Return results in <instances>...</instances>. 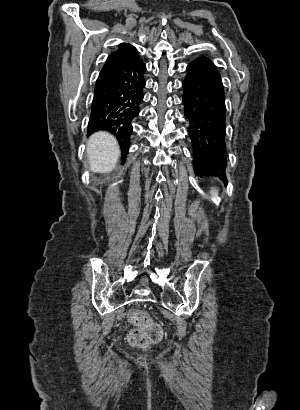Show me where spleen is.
I'll list each match as a JSON object with an SVG mask.
<instances>
[{
  "instance_id": "obj_1",
  "label": "spleen",
  "mask_w": 300,
  "mask_h": 410,
  "mask_svg": "<svg viewBox=\"0 0 300 410\" xmlns=\"http://www.w3.org/2000/svg\"><path fill=\"white\" fill-rule=\"evenodd\" d=\"M211 194H212V195H217V194H218V190L212 189V190H211Z\"/></svg>"
}]
</instances>
